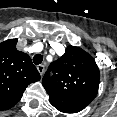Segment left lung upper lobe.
I'll return each mask as SVG.
<instances>
[{"label": "left lung upper lobe", "mask_w": 117, "mask_h": 117, "mask_svg": "<svg viewBox=\"0 0 117 117\" xmlns=\"http://www.w3.org/2000/svg\"><path fill=\"white\" fill-rule=\"evenodd\" d=\"M99 77L92 56L79 47L68 46L64 55L50 64L42 84L54 107H65L76 113L96 97Z\"/></svg>", "instance_id": "left-lung-upper-lobe-1"}]
</instances>
